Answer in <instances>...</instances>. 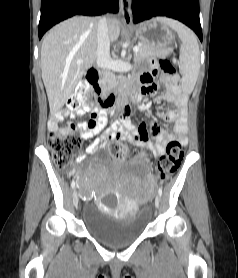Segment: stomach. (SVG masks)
Instances as JSON below:
<instances>
[{
  "label": "stomach",
  "mask_w": 238,
  "mask_h": 278,
  "mask_svg": "<svg viewBox=\"0 0 238 278\" xmlns=\"http://www.w3.org/2000/svg\"><path fill=\"white\" fill-rule=\"evenodd\" d=\"M136 37L144 44L159 49H170L175 35L160 18L151 19L134 27Z\"/></svg>",
  "instance_id": "obj_1"
}]
</instances>
